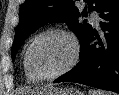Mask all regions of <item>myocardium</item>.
<instances>
[{"label":"myocardium","mask_w":119,"mask_h":95,"mask_svg":"<svg viewBox=\"0 0 119 95\" xmlns=\"http://www.w3.org/2000/svg\"><path fill=\"white\" fill-rule=\"evenodd\" d=\"M52 35H63L65 37H67L73 45V55H72V58L69 61V63L64 68H62L61 70H59L58 72H56L54 74L43 75V74L39 73L36 70V68L34 67L33 60H32V54H33L34 48L36 47V45L38 44V42L40 40H42L45 37L52 36ZM80 52H81L80 43H79L77 37L72 32H70L66 29H62V28L50 29V30L44 31L41 34L37 35L33 39V41L30 43L28 50H27V54H26V62H27L28 69L37 79H39V80H54L64 74H66L67 72H69L76 66V64L78 63L79 58H80Z\"/></svg>","instance_id":"myocardium-1"}]
</instances>
